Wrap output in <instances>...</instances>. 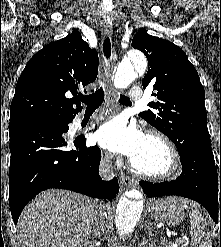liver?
Segmentation results:
<instances>
[{
	"mask_svg": "<svg viewBox=\"0 0 221 247\" xmlns=\"http://www.w3.org/2000/svg\"><path fill=\"white\" fill-rule=\"evenodd\" d=\"M97 205L67 190L42 192L20 215L17 228L23 247H88ZM100 207L106 214L107 206Z\"/></svg>",
	"mask_w": 221,
	"mask_h": 247,
	"instance_id": "liver-1",
	"label": "liver"
}]
</instances>
